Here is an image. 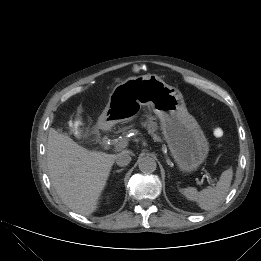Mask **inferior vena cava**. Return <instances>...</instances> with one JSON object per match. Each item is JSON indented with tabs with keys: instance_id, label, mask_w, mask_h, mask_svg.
Listing matches in <instances>:
<instances>
[{
	"instance_id": "obj_1",
	"label": "inferior vena cava",
	"mask_w": 261,
	"mask_h": 261,
	"mask_svg": "<svg viewBox=\"0 0 261 261\" xmlns=\"http://www.w3.org/2000/svg\"><path fill=\"white\" fill-rule=\"evenodd\" d=\"M115 161L118 166H127L131 161V156L128 151H122L116 155Z\"/></svg>"
}]
</instances>
